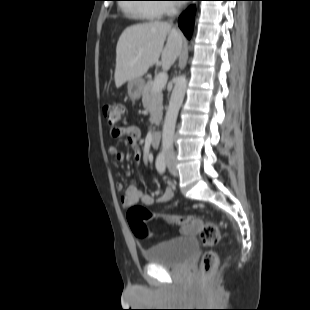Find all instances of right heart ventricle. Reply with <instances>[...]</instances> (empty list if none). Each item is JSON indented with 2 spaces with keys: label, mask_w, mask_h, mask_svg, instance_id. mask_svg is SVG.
<instances>
[{
  "label": "right heart ventricle",
  "mask_w": 310,
  "mask_h": 310,
  "mask_svg": "<svg viewBox=\"0 0 310 310\" xmlns=\"http://www.w3.org/2000/svg\"><path fill=\"white\" fill-rule=\"evenodd\" d=\"M158 5V4H157ZM154 4H138L130 7L131 14L139 17L142 20H154L161 15L160 9Z\"/></svg>",
  "instance_id": "1"
}]
</instances>
